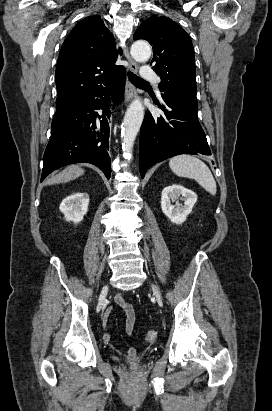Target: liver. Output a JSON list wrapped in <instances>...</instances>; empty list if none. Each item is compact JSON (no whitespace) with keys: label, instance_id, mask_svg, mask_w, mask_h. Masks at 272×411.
<instances>
[{"label":"liver","instance_id":"obj_1","mask_svg":"<svg viewBox=\"0 0 272 411\" xmlns=\"http://www.w3.org/2000/svg\"><path fill=\"white\" fill-rule=\"evenodd\" d=\"M84 174V169L78 165H70L67 166L62 172L59 174L52 176L50 179L47 180L46 184H58V183H66L71 180H74Z\"/></svg>","mask_w":272,"mask_h":411}]
</instances>
